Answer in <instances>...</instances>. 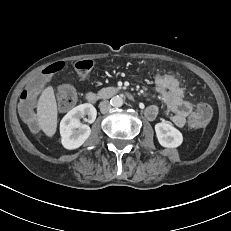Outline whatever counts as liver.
I'll use <instances>...</instances> for the list:
<instances>
[{"mask_svg":"<svg viewBox=\"0 0 231 231\" xmlns=\"http://www.w3.org/2000/svg\"><path fill=\"white\" fill-rule=\"evenodd\" d=\"M37 121L41 130L52 137L57 129V103L52 86L46 87L37 103Z\"/></svg>","mask_w":231,"mask_h":231,"instance_id":"1","label":"liver"}]
</instances>
